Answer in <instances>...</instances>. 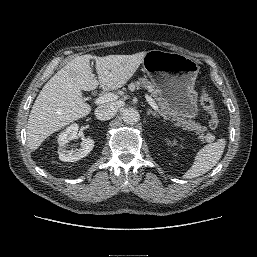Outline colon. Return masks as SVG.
I'll list each match as a JSON object with an SVG mask.
<instances>
[{
    "mask_svg": "<svg viewBox=\"0 0 257 257\" xmlns=\"http://www.w3.org/2000/svg\"><path fill=\"white\" fill-rule=\"evenodd\" d=\"M200 104L207 111L209 115L208 125L211 129L217 128L219 124V117L215 109V102L212 96L205 90L200 94Z\"/></svg>",
    "mask_w": 257,
    "mask_h": 257,
    "instance_id": "colon-1",
    "label": "colon"
}]
</instances>
